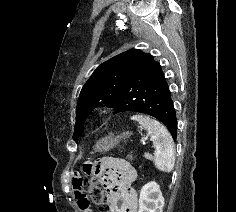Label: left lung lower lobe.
<instances>
[{
	"label": "left lung lower lobe",
	"mask_w": 236,
	"mask_h": 212,
	"mask_svg": "<svg viewBox=\"0 0 236 212\" xmlns=\"http://www.w3.org/2000/svg\"><path fill=\"white\" fill-rule=\"evenodd\" d=\"M111 107L114 113L132 111L155 117L176 139L177 119L171 92L160 63L151 54H145L131 81Z\"/></svg>",
	"instance_id": "0a47b994"
}]
</instances>
